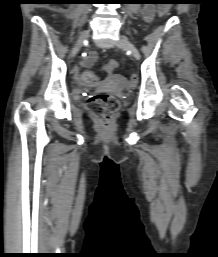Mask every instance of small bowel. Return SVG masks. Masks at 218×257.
<instances>
[{"label": "small bowel", "mask_w": 218, "mask_h": 257, "mask_svg": "<svg viewBox=\"0 0 218 257\" xmlns=\"http://www.w3.org/2000/svg\"><path fill=\"white\" fill-rule=\"evenodd\" d=\"M155 14H156V10L153 7H146L143 11L144 18L147 22L152 21ZM95 59H96V54L94 52H91L85 59L84 65L87 67L91 66L94 63ZM81 74L82 73H74V78H77L76 84H78V80H81L80 78ZM98 80L96 82H98Z\"/></svg>", "instance_id": "obj_1"}]
</instances>
